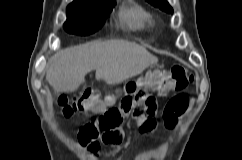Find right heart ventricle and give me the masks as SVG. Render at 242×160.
Here are the masks:
<instances>
[{"mask_svg": "<svg viewBox=\"0 0 242 160\" xmlns=\"http://www.w3.org/2000/svg\"><path fill=\"white\" fill-rule=\"evenodd\" d=\"M119 17L125 25L132 29H146L153 23L152 15L136 3L123 7Z\"/></svg>", "mask_w": 242, "mask_h": 160, "instance_id": "right-heart-ventricle-1", "label": "right heart ventricle"}]
</instances>
